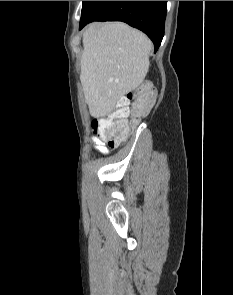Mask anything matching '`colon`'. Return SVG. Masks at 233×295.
Wrapping results in <instances>:
<instances>
[{"instance_id": "obj_1", "label": "colon", "mask_w": 233, "mask_h": 295, "mask_svg": "<svg viewBox=\"0 0 233 295\" xmlns=\"http://www.w3.org/2000/svg\"><path fill=\"white\" fill-rule=\"evenodd\" d=\"M154 92L147 83L121 98L116 109L107 117L94 119L92 130L111 147L119 146L130 135L133 127L150 110Z\"/></svg>"}]
</instances>
